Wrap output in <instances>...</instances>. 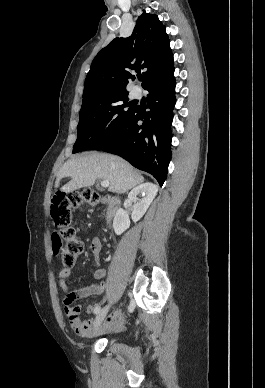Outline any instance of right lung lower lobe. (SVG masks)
<instances>
[{
  "mask_svg": "<svg viewBox=\"0 0 265 388\" xmlns=\"http://www.w3.org/2000/svg\"><path fill=\"white\" fill-rule=\"evenodd\" d=\"M174 72L150 83L147 108L135 107L119 133L101 150L119 155L152 174L162 186L171 160V123L175 99Z\"/></svg>",
  "mask_w": 265,
  "mask_h": 388,
  "instance_id": "right-lung-lower-lobe-1",
  "label": "right lung lower lobe"
}]
</instances>
